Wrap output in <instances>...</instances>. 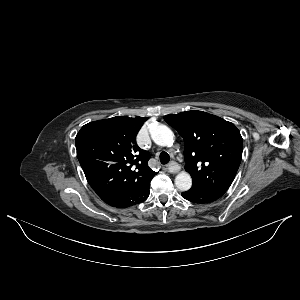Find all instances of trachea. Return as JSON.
I'll list each match as a JSON object with an SVG mask.
<instances>
[{
    "instance_id": "3493384b",
    "label": "trachea",
    "mask_w": 300,
    "mask_h": 300,
    "mask_svg": "<svg viewBox=\"0 0 300 300\" xmlns=\"http://www.w3.org/2000/svg\"><path fill=\"white\" fill-rule=\"evenodd\" d=\"M159 159H160L161 164L165 165L169 162L170 156L167 152L163 151L160 153Z\"/></svg>"
}]
</instances>
